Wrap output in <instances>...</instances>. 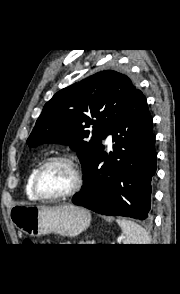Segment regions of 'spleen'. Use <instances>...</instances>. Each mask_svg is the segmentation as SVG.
Returning <instances> with one entry per match:
<instances>
[{"mask_svg": "<svg viewBox=\"0 0 180 294\" xmlns=\"http://www.w3.org/2000/svg\"><path fill=\"white\" fill-rule=\"evenodd\" d=\"M117 224L120 226L122 233L125 235L123 244H149L150 237L147 231L128 219H117Z\"/></svg>", "mask_w": 180, "mask_h": 294, "instance_id": "1", "label": "spleen"}]
</instances>
